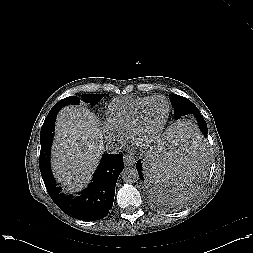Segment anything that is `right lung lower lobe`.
I'll list each match as a JSON object with an SVG mask.
<instances>
[{"mask_svg":"<svg viewBox=\"0 0 253 253\" xmlns=\"http://www.w3.org/2000/svg\"><path fill=\"white\" fill-rule=\"evenodd\" d=\"M58 109H51L43 124L54 127ZM40 172L45 187L56 205L67 215L83 220L104 218L113 206L117 179L124 168L122 154H103L91 184L78 196L61 192L52 176L50 154L40 156Z\"/></svg>","mask_w":253,"mask_h":253,"instance_id":"1","label":"right lung lower lobe"}]
</instances>
